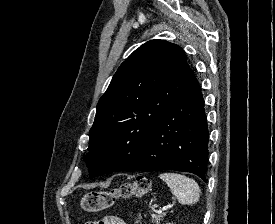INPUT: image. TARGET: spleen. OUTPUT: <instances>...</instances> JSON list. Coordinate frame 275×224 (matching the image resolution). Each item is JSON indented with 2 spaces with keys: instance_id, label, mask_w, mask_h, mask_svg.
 Wrapping results in <instances>:
<instances>
[{
  "instance_id": "3e777b00",
  "label": "spleen",
  "mask_w": 275,
  "mask_h": 224,
  "mask_svg": "<svg viewBox=\"0 0 275 224\" xmlns=\"http://www.w3.org/2000/svg\"><path fill=\"white\" fill-rule=\"evenodd\" d=\"M159 178L167 183L181 204L192 205L198 202L200 189L195 180L177 173H161Z\"/></svg>"
}]
</instances>
